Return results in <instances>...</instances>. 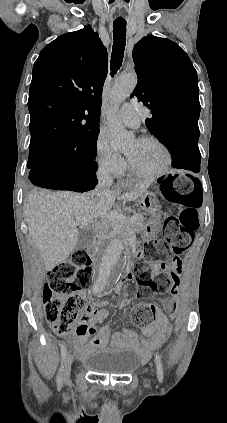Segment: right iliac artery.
I'll use <instances>...</instances> for the list:
<instances>
[{"label":"right iliac artery","instance_id":"82829eb1","mask_svg":"<svg viewBox=\"0 0 227 423\" xmlns=\"http://www.w3.org/2000/svg\"><path fill=\"white\" fill-rule=\"evenodd\" d=\"M94 290L96 292H100L102 290V286L98 285V286L94 287ZM66 355H67V349H66L65 345H62L61 346V367L59 369V372H58L57 378H56L57 386L59 388H61L62 384H63V364H64V361H65Z\"/></svg>","mask_w":227,"mask_h":423}]
</instances>
